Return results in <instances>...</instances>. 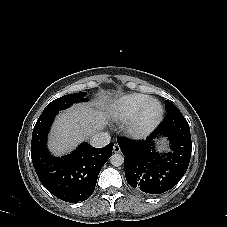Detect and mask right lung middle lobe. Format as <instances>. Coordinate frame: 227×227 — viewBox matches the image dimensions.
<instances>
[{"instance_id": "obj_1", "label": "right lung middle lobe", "mask_w": 227, "mask_h": 227, "mask_svg": "<svg viewBox=\"0 0 227 227\" xmlns=\"http://www.w3.org/2000/svg\"><path fill=\"white\" fill-rule=\"evenodd\" d=\"M86 92H80V93H75V94H68L64 95L52 102H50L43 112H48V111H60L63 109H66L67 107L71 106L72 104L76 102H81V101H87Z\"/></svg>"}]
</instances>
